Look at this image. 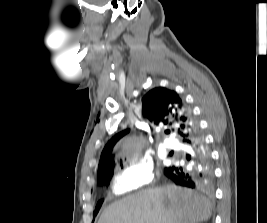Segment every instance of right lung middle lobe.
I'll return each instance as SVG.
<instances>
[{
    "label": "right lung middle lobe",
    "instance_id": "right-lung-middle-lobe-1",
    "mask_svg": "<svg viewBox=\"0 0 267 223\" xmlns=\"http://www.w3.org/2000/svg\"><path fill=\"white\" fill-rule=\"evenodd\" d=\"M113 169L114 168H110L108 169L99 179L98 181L99 182H102V183H107V185L109 184V181L110 179L112 178L113 176ZM103 201H99L97 203V206H96V209H95V212L93 213V217L96 216L97 212L99 211L101 205H102Z\"/></svg>",
    "mask_w": 267,
    "mask_h": 223
}]
</instances>
